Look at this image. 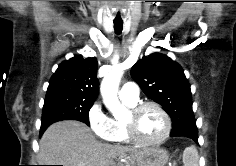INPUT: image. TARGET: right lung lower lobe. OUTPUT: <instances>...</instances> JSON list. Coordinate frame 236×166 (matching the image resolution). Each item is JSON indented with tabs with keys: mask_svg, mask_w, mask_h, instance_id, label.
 I'll return each mask as SVG.
<instances>
[{
	"mask_svg": "<svg viewBox=\"0 0 236 166\" xmlns=\"http://www.w3.org/2000/svg\"><path fill=\"white\" fill-rule=\"evenodd\" d=\"M46 129H40V136L43 134V132L45 131Z\"/></svg>",
	"mask_w": 236,
	"mask_h": 166,
	"instance_id": "obj_1",
	"label": "right lung lower lobe"
}]
</instances>
